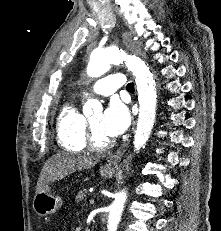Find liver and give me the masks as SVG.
I'll return each mask as SVG.
<instances>
[{
	"mask_svg": "<svg viewBox=\"0 0 221 231\" xmlns=\"http://www.w3.org/2000/svg\"><path fill=\"white\" fill-rule=\"evenodd\" d=\"M98 161V158L92 156L75 155L68 152H61L50 157L42 168L35 193H39L50 182L61 180L77 170L91 168Z\"/></svg>",
	"mask_w": 221,
	"mask_h": 231,
	"instance_id": "1",
	"label": "liver"
}]
</instances>
